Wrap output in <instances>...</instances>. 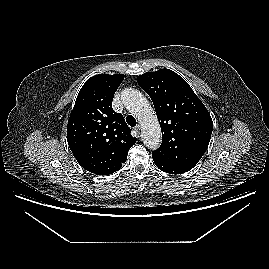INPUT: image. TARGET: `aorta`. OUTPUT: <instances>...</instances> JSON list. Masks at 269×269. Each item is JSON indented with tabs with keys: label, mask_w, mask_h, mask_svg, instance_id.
<instances>
[{
	"label": "aorta",
	"mask_w": 269,
	"mask_h": 269,
	"mask_svg": "<svg viewBox=\"0 0 269 269\" xmlns=\"http://www.w3.org/2000/svg\"><path fill=\"white\" fill-rule=\"evenodd\" d=\"M121 99L126 108L139 119L142 127L141 138L145 146L157 149L161 142V128L147 99L134 89L123 90Z\"/></svg>",
	"instance_id": "aorta-1"
}]
</instances>
